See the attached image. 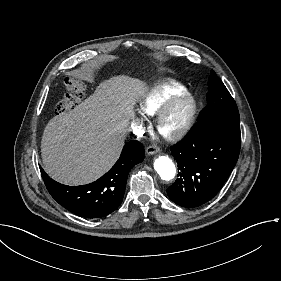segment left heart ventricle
Listing matches in <instances>:
<instances>
[{"mask_svg":"<svg viewBox=\"0 0 281 281\" xmlns=\"http://www.w3.org/2000/svg\"><path fill=\"white\" fill-rule=\"evenodd\" d=\"M188 108V100H182L176 104L164 122V129L166 131H171L180 125L188 113Z\"/></svg>","mask_w":281,"mask_h":281,"instance_id":"left-heart-ventricle-1","label":"left heart ventricle"}]
</instances>
